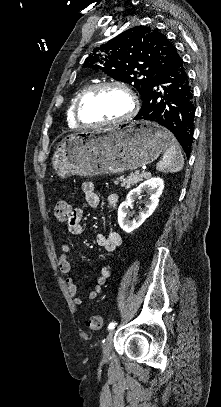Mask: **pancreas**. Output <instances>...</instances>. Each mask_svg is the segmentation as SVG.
I'll return each mask as SVG.
<instances>
[{"mask_svg":"<svg viewBox=\"0 0 221 407\" xmlns=\"http://www.w3.org/2000/svg\"><path fill=\"white\" fill-rule=\"evenodd\" d=\"M146 177H149V174L131 173L127 177L121 176V177L117 178V180L115 181V184L118 185L121 182L120 186L128 189L131 186H134L135 184H137L138 182L143 181V178H146Z\"/></svg>","mask_w":221,"mask_h":407,"instance_id":"pancreas-1","label":"pancreas"}]
</instances>
